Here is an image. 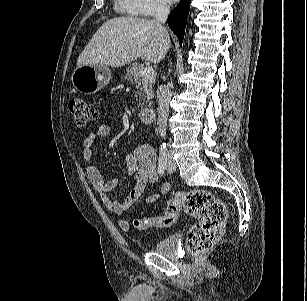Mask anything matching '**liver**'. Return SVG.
<instances>
[{"instance_id":"obj_1","label":"liver","mask_w":307,"mask_h":301,"mask_svg":"<svg viewBox=\"0 0 307 301\" xmlns=\"http://www.w3.org/2000/svg\"><path fill=\"white\" fill-rule=\"evenodd\" d=\"M170 47L169 34L153 19L117 17L106 21L77 59L82 65L121 67L139 57L159 63Z\"/></svg>"}]
</instances>
